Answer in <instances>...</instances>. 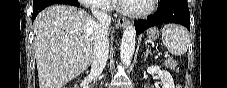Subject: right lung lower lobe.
<instances>
[{
    "instance_id": "1",
    "label": "right lung lower lobe",
    "mask_w": 227,
    "mask_h": 88,
    "mask_svg": "<svg viewBox=\"0 0 227 88\" xmlns=\"http://www.w3.org/2000/svg\"><path fill=\"white\" fill-rule=\"evenodd\" d=\"M66 0H34L33 1V14H32V23L38 13L42 11L45 7L57 4V3H66Z\"/></svg>"
}]
</instances>
